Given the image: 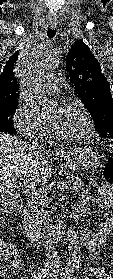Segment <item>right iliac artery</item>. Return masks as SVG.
Returning <instances> with one entry per match:
<instances>
[{"label":"right iliac artery","instance_id":"82829eb1","mask_svg":"<svg viewBox=\"0 0 113 279\" xmlns=\"http://www.w3.org/2000/svg\"><path fill=\"white\" fill-rule=\"evenodd\" d=\"M67 270H61L60 275H63ZM48 275L47 270L38 268L34 272V279H44Z\"/></svg>","mask_w":113,"mask_h":279}]
</instances>
